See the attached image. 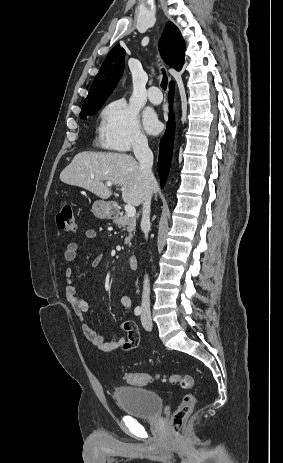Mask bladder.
Here are the masks:
<instances>
[{
	"label": "bladder",
	"mask_w": 283,
	"mask_h": 463,
	"mask_svg": "<svg viewBox=\"0 0 283 463\" xmlns=\"http://www.w3.org/2000/svg\"><path fill=\"white\" fill-rule=\"evenodd\" d=\"M114 397L123 412L137 418L154 419L162 412L161 397L150 389L119 387Z\"/></svg>",
	"instance_id": "31cf9c89"
}]
</instances>
